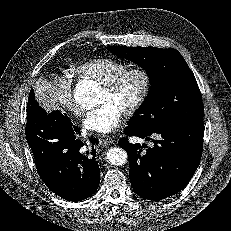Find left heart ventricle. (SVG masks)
Returning a JSON list of instances; mask_svg holds the SVG:
<instances>
[{
    "label": "left heart ventricle",
    "mask_w": 231,
    "mask_h": 231,
    "mask_svg": "<svg viewBox=\"0 0 231 231\" xmlns=\"http://www.w3.org/2000/svg\"><path fill=\"white\" fill-rule=\"evenodd\" d=\"M142 86V79L137 74H131L124 79L115 93H109L102 88L99 104L113 102L120 109H124L138 95Z\"/></svg>",
    "instance_id": "b2bd125f"
}]
</instances>
